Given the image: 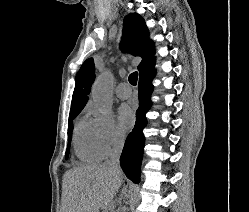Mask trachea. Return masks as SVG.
Listing matches in <instances>:
<instances>
[{
    "mask_svg": "<svg viewBox=\"0 0 249 212\" xmlns=\"http://www.w3.org/2000/svg\"><path fill=\"white\" fill-rule=\"evenodd\" d=\"M128 80L131 83V85L135 86L137 84V80H138V72L131 73L128 77Z\"/></svg>",
    "mask_w": 249,
    "mask_h": 212,
    "instance_id": "3493384b",
    "label": "trachea"
}]
</instances>
